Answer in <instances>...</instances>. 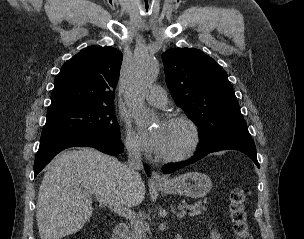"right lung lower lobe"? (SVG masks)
Listing matches in <instances>:
<instances>
[{"instance_id":"right-lung-lower-lobe-1","label":"right lung lower lobe","mask_w":304,"mask_h":239,"mask_svg":"<svg viewBox=\"0 0 304 239\" xmlns=\"http://www.w3.org/2000/svg\"><path fill=\"white\" fill-rule=\"evenodd\" d=\"M87 146L100 150L109 155H117L123 151V145L120 140H113L107 137L83 134H55L41 136L40 146L35 157L34 176L37 174L56 156L60 151L69 147ZM146 172L149 167L144 165Z\"/></svg>"}]
</instances>
